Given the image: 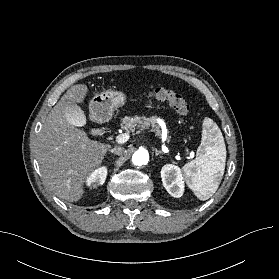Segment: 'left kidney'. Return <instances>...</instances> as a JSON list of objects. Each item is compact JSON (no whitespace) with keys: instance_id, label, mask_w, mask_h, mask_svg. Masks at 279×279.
<instances>
[{"instance_id":"left-kidney-1","label":"left kidney","mask_w":279,"mask_h":279,"mask_svg":"<svg viewBox=\"0 0 279 279\" xmlns=\"http://www.w3.org/2000/svg\"><path fill=\"white\" fill-rule=\"evenodd\" d=\"M161 179L167 192L179 198L184 193V177L181 169L173 164H166L161 169Z\"/></svg>"}]
</instances>
